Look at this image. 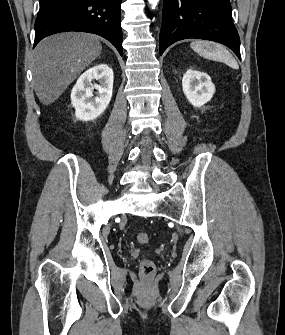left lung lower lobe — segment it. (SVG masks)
I'll use <instances>...</instances> for the list:
<instances>
[{
	"label": "left lung lower lobe",
	"mask_w": 285,
	"mask_h": 335,
	"mask_svg": "<svg viewBox=\"0 0 285 335\" xmlns=\"http://www.w3.org/2000/svg\"><path fill=\"white\" fill-rule=\"evenodd\" d=\"M160 55L176 41L197 38L222 43L240 57V40L229 0H164Z\"/></svg>",
	"instance_id": "1"
}]
</instances>
